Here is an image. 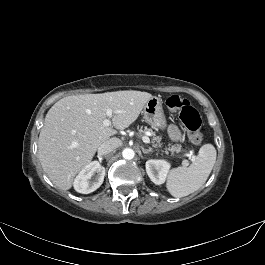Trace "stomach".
I'll list each match as a JSON object with an SVG mask.
<instances>
[{
  "label": "stomach",
  "instance_id": "0dacf381",
  "mask_svg": "<svg viewBox=\"0 0 265 265\" xmlns=\"http://www.w3.org/2000/svg\"><path fill=\"white\" fill-rule=\"evenodd\" d=\"M145 121L155 129H165L167 121L162 108V100L159 97H152L143 108Z\"/></svg>",
  "mask_w": 265,
  "mask_h": 265
}]
</instances>
